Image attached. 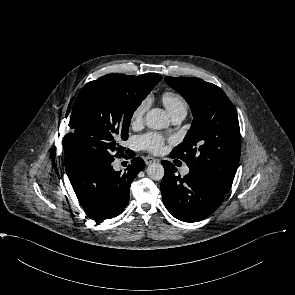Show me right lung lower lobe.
Listing matches in <instances>:
<instances>
[{
	"mask_svg": "<svg viewBox=\"0 0 295 295\" xmlns=\"http://www.w3.org/2000/svg\"><path fill=\"white\" fill-rule=\"evenodd\" d=\"M114 159H90L77 163L68 178L86 215L96 222L118 216L128 205L130 185L145 167L136 157L125 172L115 171Z\"/></svg>",
	"mask_w": 295,
	"mask_h": 295,
	"instance_id": "98d812e1",
	"label": "right lung lower lobe"
}]
</instances>
